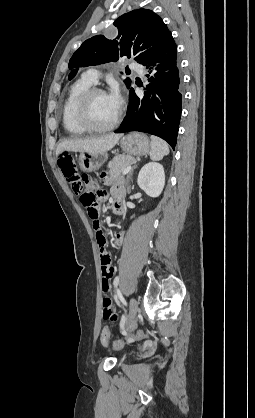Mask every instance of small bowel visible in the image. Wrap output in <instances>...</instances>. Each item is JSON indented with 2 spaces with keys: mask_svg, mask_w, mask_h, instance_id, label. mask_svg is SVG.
I'll return each mask as SVG.
<instances>
[{
  "mask_svg": "<svg viewBox=\"0 0 255 418\" xmlns=\"http://www.w3.org/2000/svg\"><path fill=\"white\" fill-rule=\"evenodd\" d=\"M123 193L122 188L117 185L112 190V198H113V209L114 211L120 213L122 211V206L119 202V198ZM123 234H118L114 237L113 243L115 246H119L122 243ZM97 245L99 246L98 254L100 258L101 264V286L104 293H107L110 288V280L114 274V267L112 265V260L110 256V249L108 246L110 245V238L109 237H102L97 236ZM102 307H103V318L104 320H118L120 314L118 311H115L114 304L110 297L104 296L102 299Z\"/></svg>",
  "mask_w": 255,
  "mask_h": 418,
  "instance_id": "1",
  "label": "small bowel"
}]
</instances>
